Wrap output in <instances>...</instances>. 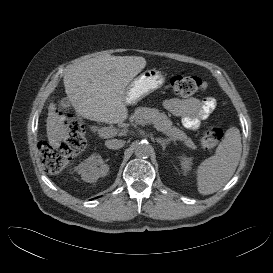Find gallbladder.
<instances>
[{
	"label": "gallbladder",
	"mask_w": 273,
	"mask_h": 273,
	"mask_svg": "<svg viewBox=\"0 0 273 273\" xmlns=\"http://www.w3.org/2000/svg\"><path fill=\"white\" fill-rule=\"evenodd\" d=\"M59 105L64 108V109H68L70 107L69 104V99L67 97H64L60 102Z\"/></svg>",
	"instance_id": "bac80fb5"
}]
</instances>
